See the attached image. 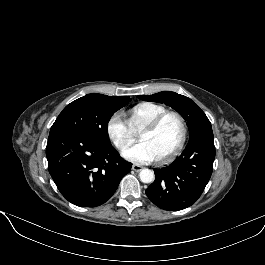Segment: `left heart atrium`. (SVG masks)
I'll return each instance as SVG.
<instances>
[{
    "mask_svg": "<svg viewBox=\"0 0 265 265\" xmlns=\"http://www.w3.org/2000/svg\"><path fill=\"white\" fill-rule=\"evenodd\" d=\"M123 156L134 162H151L157 157L150 145L145 141L135 143L123 150Z\"/></svg>",
    "mask_w": 265,
    "mask_h": 265,
    "instance_id": "obj_1",
    "label": "left heart atrium"
}]
</instances>
